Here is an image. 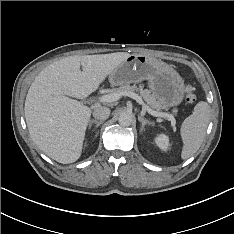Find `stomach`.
Returning a JSON list of instances; mask_svg holds the SVG:
<instances>
[{
    "instance_id": "0dacf381",
    "label": "stomach",
    "mask_w": 234,
    "mask_h": 234,
    "mask_svg": "<svg viewBox=\"0 0 234 234\" xmlns=\"http://www.w3.org/2000/svg\"><path fill=\"white\" fill-rule=\"evenodd\" d=\"M114 86L148 80L150 92L164 107L179 105L186 91L184 80L170 65L147 55L132 54L109 74Z\"/></svg>"
}]
</instances>
